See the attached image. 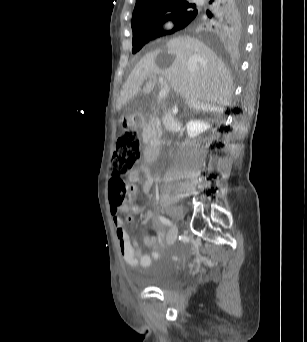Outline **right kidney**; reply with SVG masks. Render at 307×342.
Wrapping results in <instances>:
<instances>
[{
  "instance_id": "right-kidney-1",
  "label": "right kidney",
  "mask_w": 307,
  "mask_h": 342,
  "mask_svg": "<svg viewBox=\"0 0 307 342\" xmlns=\"http://www.w3.org/2000/svg\"><path fill=\"white\" fill-rule=\"evenodd\" d=\"M209 128H211V124L204 122V120H190V122L186 124L189 138H196V136L203 134V132H206Z\"/></svg>"
}]
</instances>
